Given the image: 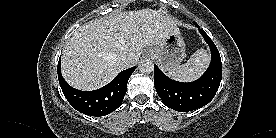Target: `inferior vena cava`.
<instances>
[{"label": "inferior vena cava", "mask_w": 276, "mask_h": 138, "mask_svg": "<svg viewBox=\"0 0 276 138\" xmlns=\"http://www.w3.org/2000/svg\"><path fill=\"white\" fill-rule=\"evenodd\" d=\"M119 61L124 65V66H129L132 62V58L127 55V54H122L119 57Z\"/></svg>", "instance_id": "1"}]
</instances>
